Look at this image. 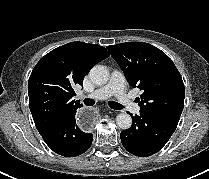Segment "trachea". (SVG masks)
Instances as JSON below:
<instances>
[{
	"mask_svg": "<svg viewBox=\"0 0 209 179\" xmlns=\"http://www.w3.org/2000/svg\"><path fill=\"white\" fill-rule=\"evenodd\" d=\"M83 102L87 106H93L95 103L93 99L89 98L84 99ZM108 105L115 110H121L123 108V106L117 102H109Z\"/></svg>",
	"mask_w": 209,
	"mask_h": 179,
	"instance_id": "trachea-1",
	"label": "trachea"
}]
</instances>
